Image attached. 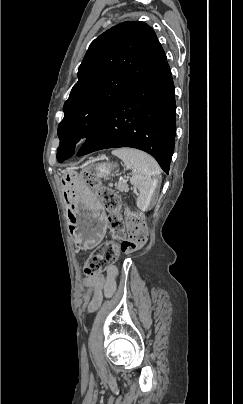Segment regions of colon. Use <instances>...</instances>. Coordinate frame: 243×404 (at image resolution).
Instances as JSON below:
<instances>
[{"mask_svg": "<svg viewBox=\"0 0 243 404\" xmlns=\"http://www.w3.org/2000/svg\"><path fill=\"white\" fill-rule=\"evenodd\" d=\"M83 177L91 186L108 213L107 222L112 241L101 244L89 256L84 272L87 276L97 275L112 264L118 254L131 253L141 249L147 239V228L143 218L129 213L124 220L120 211V199L111 188L101 184L91 168L83 171Z\"/></svg>", "mask_w": 243, "mask_h": 404, "instance_id": "1", "label": "colon"}]
</instances>
